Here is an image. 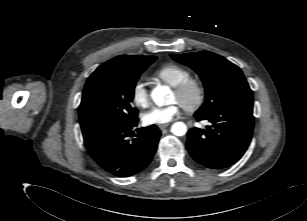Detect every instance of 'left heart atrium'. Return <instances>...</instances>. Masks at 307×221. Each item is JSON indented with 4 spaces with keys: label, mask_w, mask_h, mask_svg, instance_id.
Wrapping results in <instances>:
<instances>
[{
    "label": "left heart atrium",
    "mask_w": 307,
    "mask_h": 221,
    "mask_svg": "<svg viewBox=\"0 0 307 221\" xmlns=\"http://www.w3.org/2000/svg\"><path fill=\"white\" fill-rule=\"evenodd\" d=\"M182 105L178 101L163 107H154L146 112L143 121L147 125H162L174 120L181 112Z\"/></svg>",
    "instance_id": "obj_1"
}]
</instances>
